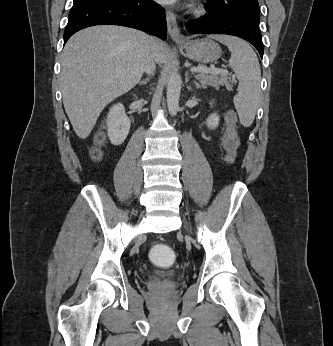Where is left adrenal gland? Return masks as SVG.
I'll list each match as a JSON object with an SVG mask.
<instances>
[{
    "instance_id": "left-adrenal-gland-1",
    "label": "left adrenal gland",
    "mask_w": 333,
    "mask_h": 346,
    "mask_svg": "<svg viewBox=\"0 0 333 346\" xmlns=\"http://www.w3.org/2000/svg\"><path fill=\"white\" fill-rule=\"evenodd\" d=\"M189 73L188 72H186V74H185V77H186V83L189 81ZM187 89L189 90V91H192V88L190 87V86H187Z\"/></svg>"
}]
</instances>
